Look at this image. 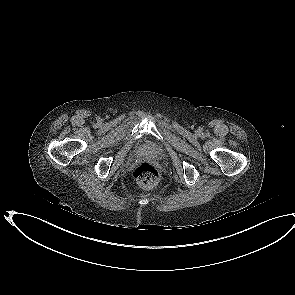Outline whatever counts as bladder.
<instances>
[{
    "instance_id": "1",
    "label": "bladder",
    "mask_w": 295,
    "mask_h": 295,
    "mask_svg": "<svg viewBox=\"0 0 295 295\" xmlns=\"http://www.w3.org/2000/svg\"><path fill=\"white\" fill-rule=\"evenodd\" d=\"M142 151L145 154L150 155V156L155 157V158H159L163 154L162 149L158 145L153 144V143L144 144L142 146Z\"/></svg>"
}]
</instances>
